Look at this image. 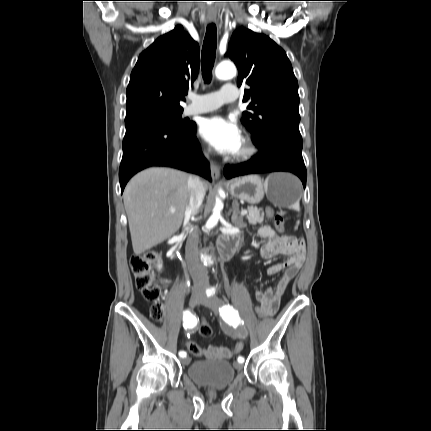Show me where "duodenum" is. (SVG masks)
Wrapping results in <instances>:
<instances>
[{"mask_svg":"<svg viewBox=\"0 0 431 431\" xmlns=\"http://www.w3.org/2000/svg\"><path fill=\"white\" fill-rule=\"evenodd\" d=\"M238 240L236 237H224L220 243L219 249L223 257L229 258L235 252Z\"/></svg>","mask_w":431,"mask_h":431,"instance_id":"1","label":"duodenum"}]
</instances>
